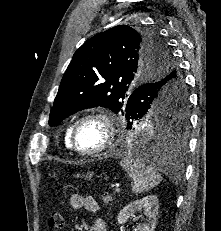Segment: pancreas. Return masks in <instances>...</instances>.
<instances>
[{
	"label": "pancreas",
	"mask_w": 221,
	"mask_h": 231,
	"mask_svg": "<svg viewBox=\"0 0 221 231\" xmlns=\"http://www.w3.org/2000/svg\"><path fill=\"white\" fill-rule=\"evenodd\" d=\"M101 198L104 203H110L113 201V197L111 195H103Z\"/></svg>",
	"instance_id": "1"
}]
</instances>
